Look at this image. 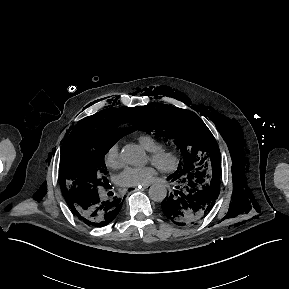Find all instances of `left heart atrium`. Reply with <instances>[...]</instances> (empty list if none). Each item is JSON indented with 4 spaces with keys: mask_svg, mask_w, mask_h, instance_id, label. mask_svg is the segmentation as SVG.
Wrapping results in <instances>:
<instances>
[{
    "mask_svg": "<svg viewBox=\"0 0 289 289\" xmlns=\"http://www.w3.org/2000/svg\"><path fill=\"white\" fill-rule=\"evenodd\" d=\"M156 175L153 166L128 167L117 176V183L123 187H139L151 183Z\"/></svg>",
    "mask_w": 289,
    "mask_h": 289,
    "instance_id": "39dd6f15",
    "label": "left heart atrium"
}]
</instances>
